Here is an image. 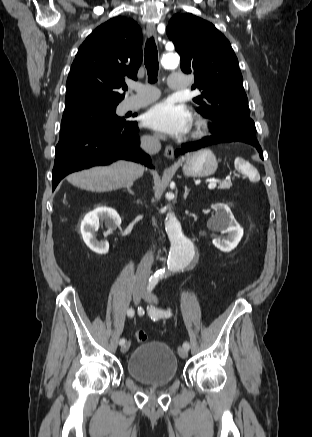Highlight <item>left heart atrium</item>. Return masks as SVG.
Returning a JSON list of instances; mask_svg holds the SVG:
<instances>
[{
    "label": "left heart atrium",
    "instance_id": "left-heart-atrium-1",
    "mask_svg": "<svg viewBox=\"0 0 312 437\" xmlns=\"http://www.w3.org/2000/svg\"><path fill=\"white\" fill-rule=\"evenodd\" d=\"M144 121L157 131L170 135H182L189 130L192 117L185 106L165 100L148 110Z\"/></svg>",
    "mask_w": 312,
    "mask_h": 437
}]
</instances>
